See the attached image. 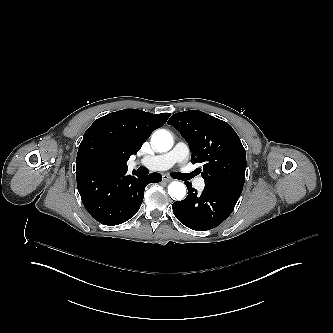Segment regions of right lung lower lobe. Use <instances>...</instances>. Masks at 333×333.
Listing matches in <instances>:
<instances>
[{"mask_svg": "<svg viewBox=\"0 0 333 333\" xmlns=\"http://www.w3.org/2000/svg\"><path fill=\"white\" fill-rule=\"evenodd\" d=\"M127 169L76 171L77 188L89 214L104 225H118L132 218L143 201L147 184L160 182L159 173L126 175Z\"/></svg>", "mask_w": 333, "mask_h": 333, "instance_id": "obj_1", "label": "right lung lower lobe"}]
</instances>
